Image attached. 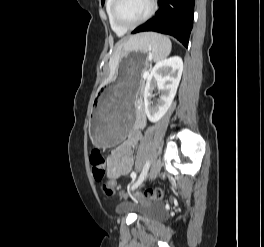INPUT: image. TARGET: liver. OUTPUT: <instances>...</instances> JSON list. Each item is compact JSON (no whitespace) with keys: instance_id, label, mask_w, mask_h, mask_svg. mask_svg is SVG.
Masks as SVG:
<instances>
[{"instance_id":"obj_1","label":"liver","mask_w":264,"mask_h":247,"mask_svg":"<svg viewBox=\"0 0 264 247\" xmlns=\"http://www.w3.org/2000/svg\"><path fill=\"white\" fill-rule=\"evenodd\" d=\"M142 35L143 34H139V35L133 36L127 42H123L122 44H120L118 46L116 54L110 59V62H109V67H110V77H109V79L111 77H113V75L115 74L116 68H117L118 63H119L120 55L122 53V49H125V47H126L127 44L132 45ZM109 79H107L106 81H104V83H102V85L100 87H102L103 85H105L108 82Z\"/></svg>"}]
</instances>
